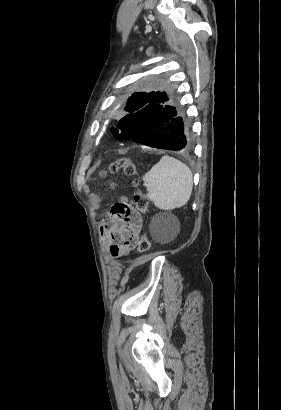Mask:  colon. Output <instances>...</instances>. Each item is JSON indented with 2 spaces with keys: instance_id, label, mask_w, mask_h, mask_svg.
Segmentation results:
<instances>
[{
  "instance_id": "colon-1",
  "label": "colon",
  "mask_w": 281,
  "mask_h": 410,
  "mask_svg": "<svg viewBox=\"0 0 281 410\" xmlns=\"http://www.w3.org/2000/svg\"><path fill=\"white\" fill-rule=\"evenodd\" d=\"M119 170L128 176H135L137 174V167L130 159L122 158L111 163L107 170L101 172L104 176L107 172L116 173ZM149 200L147 195L140 189L134 192L131 201L128 199H121L114 203L110 208V214L116 217H128L134 212L146 213L148 209ZM151 248V241L146 235H142L138 241V251L141 254L147 253Z\"/></svg>"
}]
</instances>
